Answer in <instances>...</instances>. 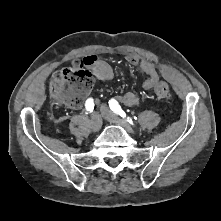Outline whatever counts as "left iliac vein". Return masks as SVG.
<instances>
[{"instance_id":"4c4485c4","label":"left iliac vein","mask_w":221,"mask_h":221,"mask_svg":"<svg viewBox=\"0 0 221 221\" xmlns=\"http://www.w3.org/2000/svg\"><path fill=\"white\" fill-rule=\"evenodd\" d=\"M102 116L110 123L125 128L128 132L133 133V129L122 119L118 118L105 104L101 106Z\"/></svg>"}]
</instances>
